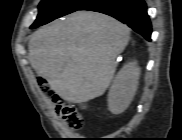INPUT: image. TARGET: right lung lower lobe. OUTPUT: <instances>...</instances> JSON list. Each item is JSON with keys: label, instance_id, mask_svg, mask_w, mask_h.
<instances>
[{"label": "right lung lower lobe", "instance_id": "98d812e1", "mask_svg": "<svg viewBox=\"0 0 182 140\" xmlns=\"http://www.w3.org/2000/svg\"><path fill=\"white\" fill-rule=\"evenodd\" d=\"M78 10L110 15L151 40V22L144 0H91Z\"/></svg>", "mask_w": 182, "mask_h": 140}]
</instances>
